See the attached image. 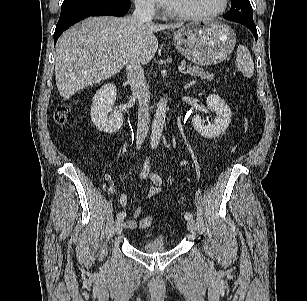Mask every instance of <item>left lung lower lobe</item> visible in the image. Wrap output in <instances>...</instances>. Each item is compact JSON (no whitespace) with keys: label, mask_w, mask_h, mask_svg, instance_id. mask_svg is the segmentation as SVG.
<instances>
[{"label":"left lung lower lobe","mask_w":307,"mask_h":301,"mask_svg":"<svg viewBox=\"0 0 307 301\" xmlns=\"http://www.w3.org/2000/svg\"><path fill=\"white\" fill-rule=\"evenodd\" d=\"M227 20H231V21L238 22V23L245 25L247 28H249L251 30L255 39L256 40L258 39V34H257V30H256V26H255L254 22H247V21H243V20H233V19H227Z\"/></svg>","instance_id":"obj_1"}]
</instances>
